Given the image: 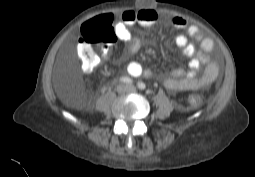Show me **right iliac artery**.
Listing matches in <instances>:
<instances>
[{"mask_svg": "<svg viewBox=\"0 0 255 177\" xmlns=\"http://www.w3.org/2000/svg\"><path fill=\"white\" fill-rule=\"evenodd\" d=\"M120 81L123 82V83H126V84H132V79L130 77H121L120 78Z\"/></svg>", "mask_w": 255, "mask_h": 177, "instance_id": "right-iliac-artery-1", "label": "right iliac artery"}]
</instances>
